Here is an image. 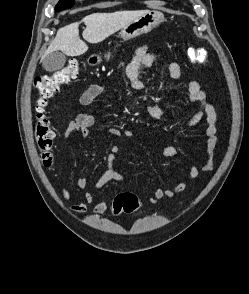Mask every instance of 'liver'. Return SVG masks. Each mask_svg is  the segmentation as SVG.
<instances>
[{"label": "liver", "mask_w": 249, "mask_h": 294, "mask_svg": "<svg viewBox=\"0 0 249 294\" xmlns=\"http://www.w3.org/2000/svg\"><path fill=\"white\" fill-rule=\"evenodd\" d=\"M146 12L147 10H136L90 14L81 21L86 25L82 34L83 38L89 43L102 42ZM81 22H75L60 28L42 58L54 51H62L71 57L87 52V44L79 37V25Z\"/></svg>", "instance_id": "obj_1"}]
</instances>
